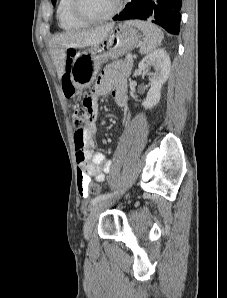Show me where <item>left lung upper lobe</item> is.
I'll use <instances>...</instances> for the list:
<instances>
[{
  "mask_svg": "<svg viewBox=\"0 0 227 298\" xmlns=\"http://www.w3.org/2000/svg\"><path fill=\"white\" fill-rule=\"evenodd\" d=\"M52 3L55 4L56 3V0H52Z\"/></svg>",
  "mask_w": 227,
  "mask_h": 298,
  "instance_id": "obj_1",
  "label": "left lung upper lobe"
}]
</instances>
